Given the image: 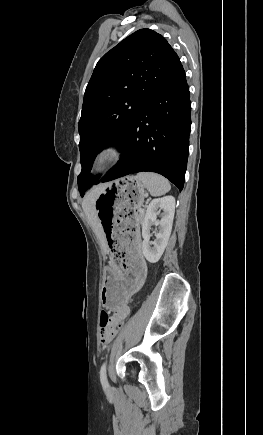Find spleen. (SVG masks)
I'll return each mask as SVG.
<instances>
[{
	"label": "spleen",
	"instance_id": "obj_1",
	"mask_svg": "<svg viewBox=\"0 0 263 435\" xmlns=\"http://www.w3.org/2000/svg\"><path fill=\"white\" fill-rule=\"evenodd\" d=\"M137 178L152 196H161L171 189L169 181L156 173L141 172L137 174Z\"/></svg>",
	"mask_w": 263,
	"mask_h": 435
}]
</instances>
